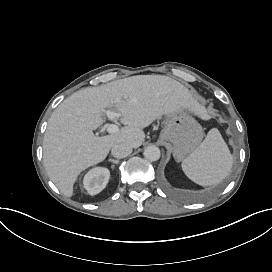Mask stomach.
Segmentation results:
<instances>
[{"mask_svg":"<svg viewBox=\"0 0 272 272\" xmlns=\"http://www.w3.org/2000/svg\"><path fill=\"white\" fill-rule=\"evenodd\" d=\"M164 122L160 138L174 144L173 156L179 162L201 143L202 127L185 112L169 113L165 115Z\"/></svg>","mask_w":272,"mask_h":272,"instance_id":"1","label":"stomach"}]
</instances>
